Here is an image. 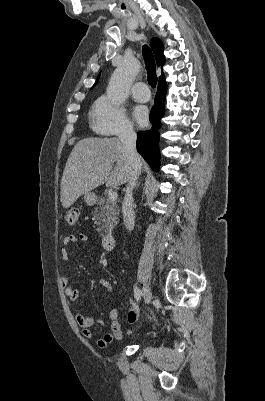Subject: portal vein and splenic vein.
Segmentation results:
<instances>
[{
	"instance_id": "obj_1",
	"label": "portal vein and splenic vein",
	"mask_w": 265,
	"mask_h": 401,
	"mask_svg": "<svg viewBox=\"0 0 265 401\" xmlns=\"http://www.w3.org/2000/svg\"><path fill=\"white\" fill-rule=\"evenodd\" d=\"M117 196V192H111L109 198H111V201H116Z\"/></svg>"
}]
</instances>
